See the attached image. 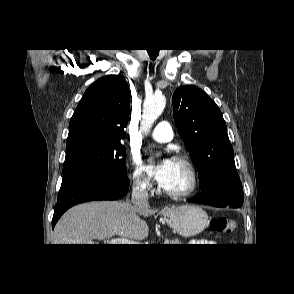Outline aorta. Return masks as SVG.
Instances as JSON below:
<instances>
[{"mask_svg":"<svg viewBox=\"0 0 294 294\" xmlns=\"http://www.w3.org/2000/svg\"><path fill=\"white\" fill-rule=\"evenodd\" d=\"M166 105V99L162 94H156L146 98L143 104V115L141 121V131H150L155 120L162 114Z\"/></svg>","mask_w":294,"mask_h":294,"instance_id":"aorta-1","label":"aorta"}]
</instances>
